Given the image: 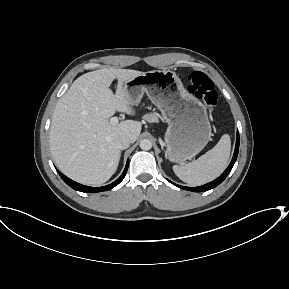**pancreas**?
Returning <instances> with one entry per match:
<instances>
[{
    "instance_id": "obj_1",
    "label": "pancreas",
    "mask_w": 289,
    "mask_h": 289,
    "mask_svg": "<svg viewBox=\"0 0 289 289\" xmlns=\"http://www.w3.org/2000/svg\"><path fill=\"white\" fill-rule=\"evenodd\" d=\"M144 119L149 121V122H151V121L156 122L158 120V116L155 113L147 114V115L144 116Z\"/></svg>"
}]
</instances>
